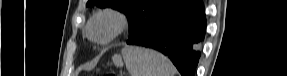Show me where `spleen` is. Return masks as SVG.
I'll return each mask as SVG.
<instances>
[{
	"instance_id": "obj_1",
	"label": "spleen",
	"mask_w": 287,
	"mask_h": 76,
	"mask_svg": "<svg viewBox=\"0 0 287 76\" xmlns=\"http://www.w3.org/2000/svg\"><path fill=\"white\" fill-rule=\"evenodd\" d=\"M123 61L131 76H175L176 69L161 53L137 46H126L115 54L112 62L122 67Z\"/></svg>"
}]
</instances>
